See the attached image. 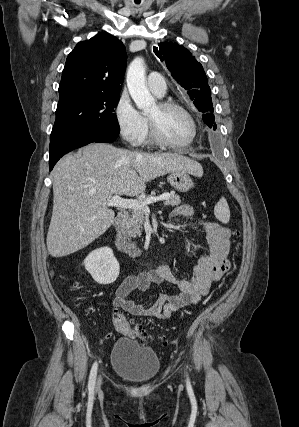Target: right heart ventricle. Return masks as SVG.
Masks as SVG:
<instances>
[{"label":"right heart ventricle","instance_id":"right-heart-ventricle-1","mask_svg":"<svg viewBox=\"0 0 299 427\" xmlns=\"http://www.w3.org/2000/svg\"><path fill=\"white\" fill-rule=\"evenodd\" d=\"M143 141H146V142L150 141L147 129H146V133Z\"/></svg>","mask_w":299,"mask_h":427}]
</instances>
